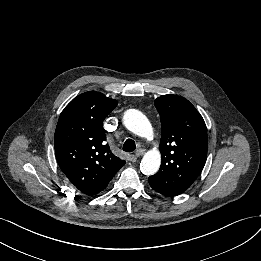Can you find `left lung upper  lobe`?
Instances as JSON below:
<instances>
[{
    "label": "left lung upper lobe",
    "instance_id": "obj_1",
    "mask_svg": "<svg viewBox=\"0 0 261 261\" xmlns=\"http://www.w3.org/2000/svg\"><path fill=\"white\" fill-rule=\"evenodd\" d=\"M155 106L160 114V170L148 181L171 196L186 191L201 173L207 159V129L196 108L185 98L163 95Z\"/></svg>",
    "mask_w": 261,
    "mask_h": 261
}]
</instances>
